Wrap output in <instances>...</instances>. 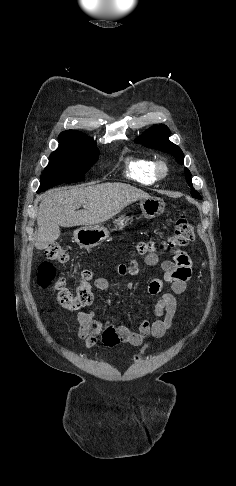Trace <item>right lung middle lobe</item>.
I'll return each mask as SVG.
<instances>
[{
	"instance_id": "1",
	"label": "right lung middle lobe",
	"mask_w": 236,
	"mask_h": 486,
	"mask_svg": "<svg viewBox=\"0 0 236 486\" xmlns=\"http://www.w3.org/2000/svg\"><path fill=\"white\" fill-rule=\"evenodd\" d=\"M98 155L95 144L59 140L58 149L52 152L44 169L37 193L62 183L82 181Z\"/></svg>"
}]
</instances>
